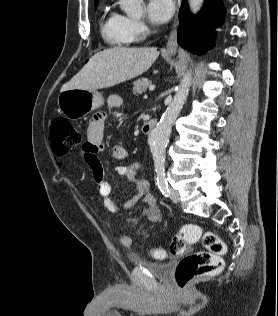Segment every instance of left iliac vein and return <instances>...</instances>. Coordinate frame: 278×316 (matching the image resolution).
Instances as JSON below:
<instances>
[{"label": "left iliac vein", "instance_id": "left-iliac-vein-1", "mask_svg": "<svg viewBox=\"0 0 278 316\" xmlns=\"http://www.w3.org/2000/svg\"><path fill=\"white\" fill-rule=\"evenodd\" d=\"M169 194H170V197H171L173 202H175V203L179 202L180 195H179V192L177 190L170 187Z\"/></svg>", "mask_w": 278, "mask_h": 316}]
</instances>
